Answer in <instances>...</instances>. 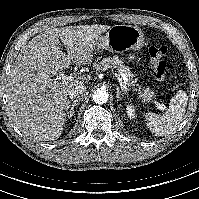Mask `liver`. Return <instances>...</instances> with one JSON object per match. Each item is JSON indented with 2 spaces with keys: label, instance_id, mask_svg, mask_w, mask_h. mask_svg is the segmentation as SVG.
I'll list each match as a JSON object with an SVG mask.
<instances>
[{
  "label": "liver",
  "instance_id": "liver-1",
  "mask_svg": "<svg viewBox=\"0 0 199 199\" xmlns=\"http://www.w3.org/2000/svg\"><path fill=\"white\" fill-rule=\"evenodd\" d=\"M109 29L97 24L46 29L23 46L12 65L6 92L10 114L26 136L47 141L62 134L71 106L69 91L83 82L88 84L91 75H75L65 81L54 76L71 62L90 65L95 40Z\"/></svg>",
  "mask_w": 199,
  "mask_h": 199
}]
</instances>
